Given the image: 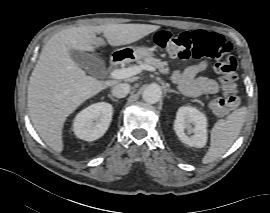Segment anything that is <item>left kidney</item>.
<instances>
[{
  "label": "left kidney",
  "instance_id": "1",
  "mask_svg": "<svg viewBox=\"0 0 270 213\" xmlns=\"http://www.w3.org/2000/svg\"><path fill=\"white\" fill-rule=\"evenodd\" d=\"M174 130L181 142L189 146L202 148L207 143V117L195 107L183 106L178 109ZM192 132L194 134L190 135Z\"/></svg>",
  "mask_w": 270,
  "mask_h": 213
}]
</instances>
